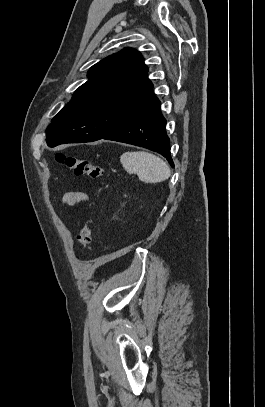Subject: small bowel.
Returning <instances> with one entry per match:
<instances>
[{
  "mask_svg": "<svg viewBox=\"0 0 265 407\" xmlns=\"http://www.w3.org/2000/svg\"><path fill=\"white\" fill-rule=\"evenodd\" d=\"M87 199V195L80 191H70L64 194L62 202L65 206H74Z\"/></svg>",
  "mask_w": 265,
  "mask_h": 407,
  "instance_id": "1",
  "label": "small bowel"
}]
</instances>
